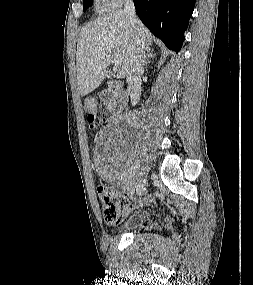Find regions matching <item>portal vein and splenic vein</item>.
<instances>
[{"instance_id":"1","label":"portal vein and splenic vein","mask_w":253,"mask_h":285,"mask_svg":"<svg viewBox=\"0 0 253 285\" xmlns=\"http://www.w3.org/2000/svg\"><path fill=\"white\" fill-rule=\"evenodd\" d=\"M114 63H115L116 68L120 66L121 61H120L118 55L114 56Z\"/></svg>"}]
</instances>
